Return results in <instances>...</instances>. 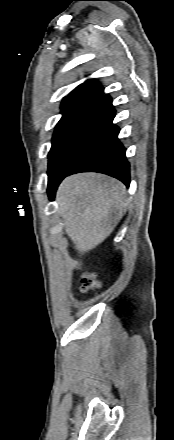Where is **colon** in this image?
Masks as SVG:
<instances>
[{
    "instance_id": "1",
    "label": "colon",
    "mask_w": 174,
    "mask_h": 440,
    "mask_svg": "<svg viewBox=\"0 0 174 440\" xmlns=\"http://www.w3.org/2000/svg\"><path fill=\"white\" fill-rule=\"evenodd\" d=\"M101 286L100 281L97 279V276L93 272H86L83 274L81 279L80 291L83 294L94 293Z\"/></svg>"
}]
</instances>
